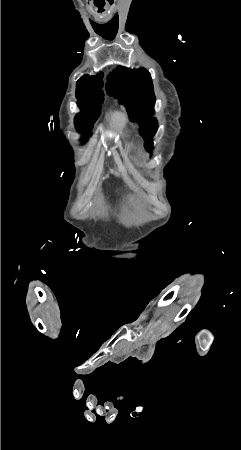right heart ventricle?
Masks as SVG:
<instances>
[{"label":"right heart ventricle","mask_w":241,"mask_h":450,"mask_svg":"<svg viewBox=\"0 0 241 450\" xmlns=\"http://www.w3.org/2000/svg\"><path fill=\"white\" fill-rule=\"evenodd\" d=\"M125 125V119L123 114L116 112L110 119V130L112 134H117L123 131Z\"/></svg>","instance_id":"1"}]
</instances>
